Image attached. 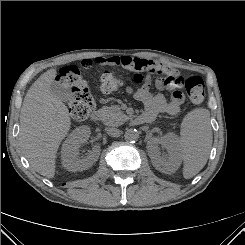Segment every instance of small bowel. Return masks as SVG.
<instances>
[{
    "instance_id": "small-bowel-1",
    "label": "small bowel",
    "mask_w": 245,
    "mask_h": 245,
    "mask_svg": "<svg viewBox=\"0 0 245 245\" xmlns=\"http://www.w3.org/2000/svg\"><path fill=\"white\" fill-rule=\"evenodd\" d=\"M94 62L102 66H121L127 70L133 71L134 74H140L142 80L140 86L135 89H128L134 98L143 103L145 110L143 115L152 120L159 113H167L169 115H177L185 103V96L181 89L183 87V79L181 77L172 78L169 75L161 77L156 82V91H150L151 78L153 74H164V67L152 60L130 57L127 55H115L109 57L99 56ZM93 61L85 59L82 64L85 68L92 65ZM144 74V76L142 75ZM164 91L171 92L170 100H167Z\"/></svg>"
}]
</instances>
